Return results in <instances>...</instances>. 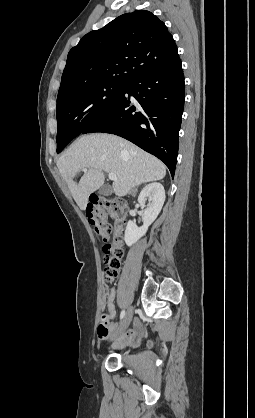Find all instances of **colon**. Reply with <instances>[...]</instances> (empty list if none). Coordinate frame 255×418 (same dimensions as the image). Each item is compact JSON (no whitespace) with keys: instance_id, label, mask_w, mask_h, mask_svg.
Returning <instances> with one entry per match:
<instances>
[{"instance_id":"colon-1","label":"colon","mask_w":255,"mask_h":418,"mask_svg":"<svg viewBox=\"0 0 255 418\" xmlns=\"http://www.w3.org/2000/svg\"><path fill=\"white\" fill-rule=\"evenodd\" d=\"M128 203L122 198L105 199L95 197L87 209L88 220L103 240L105 280H114L121 268L124 255L122 235L124 232ZM111 219L113 224L108 220ZM105 315L100 324L104 328Z\"/></svg>"}]
</instances>
